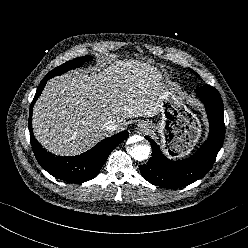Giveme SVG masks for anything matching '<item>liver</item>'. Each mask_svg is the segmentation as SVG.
I'll list each match as a JSON object with an SVG mask.
<instances>
[{
	"label": "liver",
	"mask_w": 248,
	"mask_h": 248,
	"mask_svg": "<svg viewBox=\"0 0 248 248\" xmlns=\"http://www.w3.org/2000/svg\"><path fill=\"white\" fill-rule=\"evenodd\" d=\"M165 96L159 75L140 61H116L91 75L75 70L47 82L33 108V132L46 150L77 155L108 136L107 121L123 130L127 118L157 115Z\"/></svg>",
	"instance_id": "1"
}]
</instances>
